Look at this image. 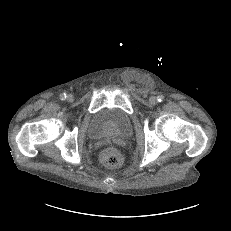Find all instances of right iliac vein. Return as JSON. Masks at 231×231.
I'll use <instances>...</instances> for the list:
<instances>
[{
	"mask_svg": "<svg viewBox=\"0 0 231 231\" xmlns=\"http://www.w3.org/2000/svg\"><path fill=\"white\" fill-rule=\"evenodd\" d=\"M67 100H68L69 102L73 101V96H72L71 94H69V95L67 96Z\"/></svg>",
	"mask_w": 231,
	"mask_h": 231,
	"instance_id": "63e3f726",
	"label": "right iliac vein"
}]
</instances>
